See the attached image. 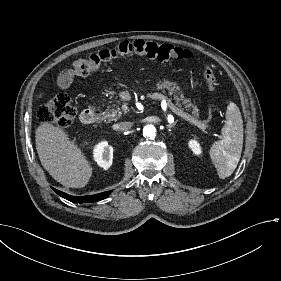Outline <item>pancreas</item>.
<instances>
[{
  "label": "pancreas",
  "instance_id": "1",
  "mask_svg": "<svg viewBox=\"0 0 281 281\" xmlns=\"http://www.w3.org/2000/svg\"><path fill=\"white\" fill-rule=\"evenodd\" d=\"M160 85L162 88L167 89L171 95L174 94L173 99L177 100L176 105H178V107H177L178 109L184 110V108H182V104L179 103L180 100H182L184 105L192 107L191 116L193 117V119H197L199 117V110H198L197 106H193L190 102H188V100L185 99V97L183 96V94L181 92L178 93V91H180V86H173L170 88L169 86H171L172 83H170L167 80H162L160 82ZM126 107H127L126 105H123L121 107V109L118 107L115 111H113L112 114L107 116L108 120L109 121H118L119 119H122L124 117V115L128 114L127 111L126 112L123 111V108H126ZM198 122H200V121H198Z\"/></svg>",
  "mask_w": 281,
  "mask_h": 281
}]
</instances>
